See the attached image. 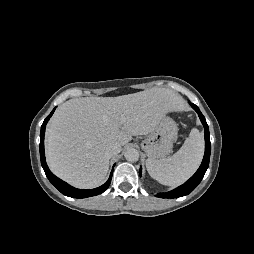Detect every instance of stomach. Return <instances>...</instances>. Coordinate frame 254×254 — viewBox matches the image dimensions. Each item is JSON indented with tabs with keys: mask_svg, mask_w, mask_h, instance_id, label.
Wrapping results in <instances>:
<instances>
[{
	"mask_svg": "<svg viewBox=\"0 0 254 254\" xmlns=\"http://www.w3.org/2000/svg\"><path fill=\"white\" fill-rule=\"evenodd\" d=\"M178 127L175 121L164 115L153 132L141 143L149 159H160L169 155L177 138Z\"/></svg>",
	"mask_w": 254,
	"mask_h": 254,
	"instance_id": "0dacf381",
	"label": "stomach"
}]
</instances>
